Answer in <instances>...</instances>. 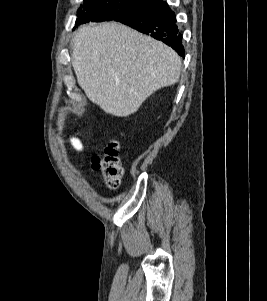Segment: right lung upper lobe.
Returning a JSON list of instances; mask_svg holds the SVG:
<instances>
[{
	"label": "right lung upper lobe",
	"mask_w": 267,
	"mask_h": 301,
	"mask_svg": "<svg viewBox=\"0 0 267 301\" xmlns=\"http://www.w3.org/2000/svg\"><path fill=\"white\" fill-rule=\"evenodd\" d=\"M147 1H149L150 5H153V4L161 2L162 0H147Z\"/></svg>",
	"instance_id": "obj_1"
}]
</instances>
